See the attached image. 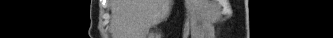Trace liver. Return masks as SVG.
<instances>
[{"instance_id": "6515ba94", "label": "liver", "mask_w": 333, "mask_h": 38, "mask_svg": "<svg viewBox=\"0 0 333 38\" xmlns=\"http://www.w3.org/2000/svg\"><path fill=\"white\" fill-rule=\"evenodd\" d=\"M154 7V1H145L143 9L145 11L149 10L150 8Z\"/></svg>"}]
</instances>
